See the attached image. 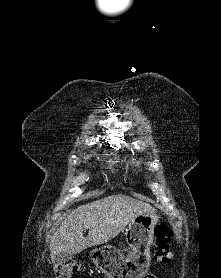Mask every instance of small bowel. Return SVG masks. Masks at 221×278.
Segmentation results:
<instances>
[{
  "label": "small bowel",
  "instance_id": "c3829d8e",
  "mask_svg": "<svg viewBox=\"0 0 221 278\" xmlns=\"http://www.w3.org/2000/svg\"><path fill=\"white\" fill-rule=\"evenodd\" d=\"M147 278H155L153 275H149L147 276Z\"/></svg>",
  "mask_w": 221,
  "mask_h": 278
}]
</instances>
